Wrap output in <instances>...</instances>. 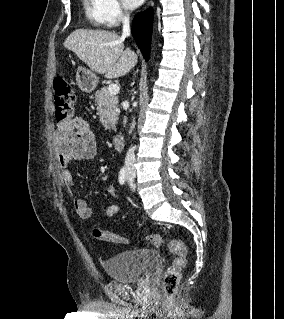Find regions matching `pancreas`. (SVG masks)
<instances>
[{"label":"pancreas","mask_w":284,"mask_h":319,"mask_svg":"<svg viewBox=\"0 0 284 319\" xmlns=\"http://www.w3.org/2000/svg\"><path fill=\"white\" fill-rule=\"evenodd\" d=\"M97 115L106 130H115L118 121V97L109 93L108 87H103L95 93Z\"/></svg>","instance_id":"1"}]
</instances>
